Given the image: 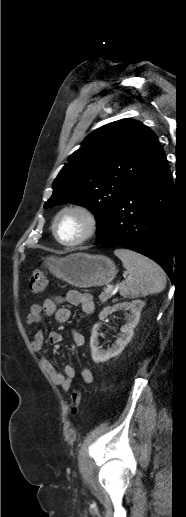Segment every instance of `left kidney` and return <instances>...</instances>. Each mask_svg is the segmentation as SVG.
<instances>
[{
	"label": "left kidney",
	"instance_id": "1",
	"mask_svg": "<svg viewBox=\"0 0 186 517\" xmlns=\"http://www.w3.org/2000/svg\"><path fill=\"white\" fill-rule=\"evenodd\" d=\"M144 307V301L142 300H134L131 302H123L114 305L113 307L107 306L99 313V319H105L109 314H112L115 311H130V314L127 317L126 324L121 327V333L116 340L115 344L112 345L111 348L107 350L101 349L98 341V331L100 329L101 324L96 323L92 328L91 338H90V348L92 359L95 363H101L109 360L112 357L117 356L121 353L125 346L131 341L134 328L137 326L142 308Z\"/></svg>",
	"mask_w": 186,
	"mask_h": 517
}]
</instances>
